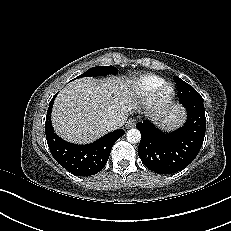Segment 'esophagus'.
<instances>
[{
	"label": "esophagus",
	"instance_id": "34e87169",
	"mask_svg": "<svg viewBox=\"0 0 231 231\" xmlns=\"http://www.w3.org/2000/svg\"><path fill=\"white\" fill-rule=\"evenodd\" d=\"M135 124H136V121H135V119H129L128 121H127V123H126V127L127 128H132V127H134L135 126Z\"/></svg>",
	"mask_w": 231,
	"mask_h": 231
}]
</instances>
